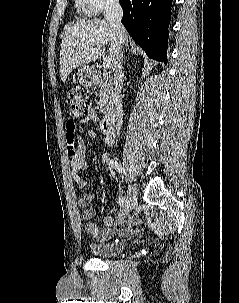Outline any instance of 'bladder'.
<instances>
[{
	"mask_svg": "<svg viewBox=\"0 0 239 303\" xmlns=\"http://www.w3.org/2000/svg\"><path fill=\"white\" fill-rule=\"evenodd\" d=\"M126 241H113V242H96L90 243L89 249L91 253L98 258H108L117 256L126 248Z\"/></svg>",
	"mask_w": 239,
	"mask_h": 303,
	"instance_id": "1",
	"label": "bladder"
}]
</instances>
